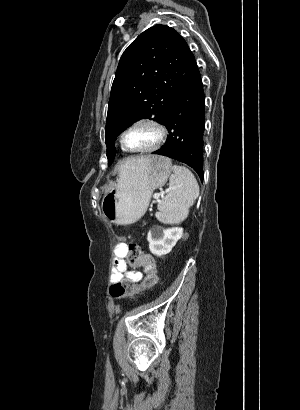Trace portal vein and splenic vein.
Returning a JSON list of instances; mask_svg holds the SVG:
<instances>
[{"label": "portal vein and splenic vein", "instance_id": "obj_1", "mask_svg": "<svg viewBox=\"0 0 300 410\" xmlns=\"http://www.w3.org/2000/svg\"><path fill=\"white\" fill-rule=\"evenodd\" d=\"M160 196H162V195H160V194H158V193H155V194L153 195V198L156 199V200H158V199L160 198Z\"/></svg>", "mask_w": 300, "mask_h": 410}]
</instances>
